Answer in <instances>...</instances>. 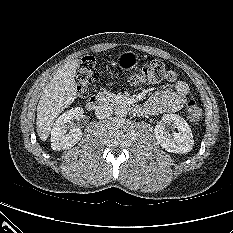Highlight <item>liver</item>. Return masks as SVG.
Instances as JSON below:
<instances>
[{
	"label": "liver",
	"mask_w": 233,
	"mask_h": 233,
	"mask_svg": "<svg viewBox=\"0 0 233 233\" xmlns=\"http://www.w3.org/2000/svg\"><path fill=\"white\" fill-rule=\"evenodd\" d=\"M79 60L71 61L54 73L46 85L37 106V133L46 141L57 116L76 98V69Z\"/></svg>",
	"instance_id": "1"
}]
</instances>
